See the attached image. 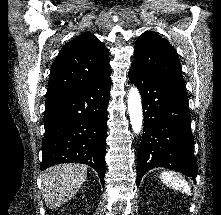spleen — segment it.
<instances>
[{"instance_id": "1", "label": "spleen", "mask_w": 221, "mask_h": 215, "mask_svg": "<svg viewBox=\"0 0 221 215\" xmlns=\"http://www.w3.org/2000/svg\"><path fill=\"white\" fill-rule=\"evenodd\" d=\"M162 182L176 190L190 194L191 189L188 182L174 172H163L160 175Z\"/></svg>"}]
</instances>
